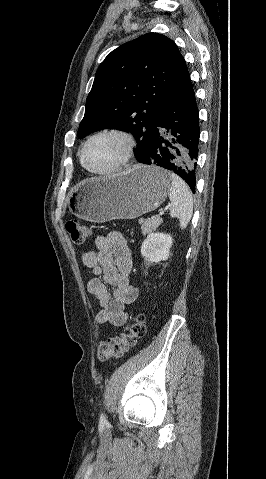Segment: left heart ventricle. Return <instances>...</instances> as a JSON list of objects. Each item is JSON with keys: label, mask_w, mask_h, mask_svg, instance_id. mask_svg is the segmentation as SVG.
I'll return each mask as SVG.
<instances>
[{"label": "left heart ventricle", "mask_w": 266, "mask_h": 479, "mask_svg": "<svg viewBox=\"0 0 266 479\" xmlns=\"http://www.w3.org/2000/svg\"><path fill=\"white\" fill-rule=\"evenodd\" d=\"M123 150L124 142L119 137H99L91 143L87 151V163L95 170H108L118 163Z\"/></svg>", "instance_id": "left-heart-ventricle-1"}]
</instances>
